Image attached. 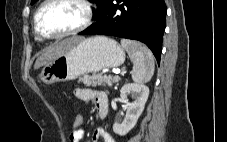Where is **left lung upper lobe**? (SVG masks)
Returning <instances> with one entry per match:
<instances>
[{"instance_id":"1","label":"left lung upper lobe","mask_w":227,"mask_h":142,"mask_svg":"<svg viewBox=\"0 0 227 142\" xmlns=\"http://www.w3.org/2000/svg\"><path fill=\"white\" fill-rule=\"evenodd\" d=\"M37 0H32L31 4H34ZM109 0H93L91 2L95 3L97 5V9L93 10V17L97 18V16L99 15V13L102 11V9L105 7V5L107 4Z\"/></svg>"}]
</instances>
